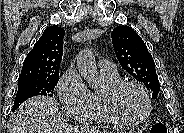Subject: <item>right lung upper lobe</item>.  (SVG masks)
I'll list each match as a JSON object with an SVG mask.
<instances>
[{
	"label": "right lung upper lobe",
	"instance_id": "right-lung-upper-lobe-1",
	"mask_svg": "<svg viewBox=\"0 0 184 133\" xmlns=\"http://www.w3.org/2000/svg\"><path fill=\"white\" fill-rule=\"evenodd\" d=\"M63 38V28L57 26L46 28L33 49L27 54L18 80L48 79L59 76Z\"/></svg>",
	"mask_w": 184,
	"mask_h": 133
}]
</instances>
